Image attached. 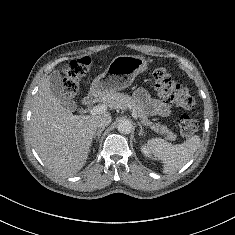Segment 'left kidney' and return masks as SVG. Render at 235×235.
I'll use <instances>...</instances> for the list:
<instances>
[{"mask_svg": "<svg viewBox=\"0 0 235 235\" xmlns=\"http://www.w3.org/2000/svg\"><path fill=\"white\" fill-rule=\"evenodd\" d=\"M141 152L144 154L145 157L152 158L151 152H150L148 146H146V144H143L141 146Z\"/></svg>", "mask_w": 235, "mask_h": 235, "instance_id": "obj_1", "label": "left kidney"}]
</instances>
